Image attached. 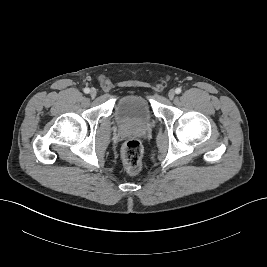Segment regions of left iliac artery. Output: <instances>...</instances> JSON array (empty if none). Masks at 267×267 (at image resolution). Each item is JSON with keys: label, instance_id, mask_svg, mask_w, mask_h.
Listing matches in <instances>:
<instances>
[{"label": "left iliac artery", "instance_id": "1", "mask_svg": "<svg viewBox=\"0 0 267 267\" xmlns=\"http://www.w3.org/2000/svg\"><path fill=\"white\" fill-rule=\"evenodd\" d=\"M181 91H182L181 88H176V89H175V93H177V94H180Z\"/></svg>", "mask_w": 267, "mask_h": 267}]
</instances>
